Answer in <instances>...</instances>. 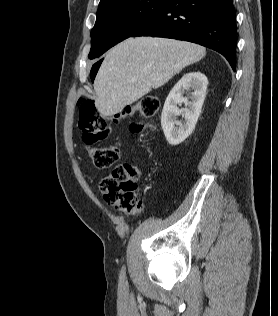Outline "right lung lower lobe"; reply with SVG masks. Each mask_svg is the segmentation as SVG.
Here are the masks:
<instances>
[{
  "mask_svg": "<svg viewBox=\"0 0 278 316\" xmlns=\"http://www.w3.org/2000/svg\"><path fill=\"white\" fill-rule=\"evenodd\" d=\"M132 36L186 40L221 53L236 69V13L232 0H166ZM95 77V76H94ZM94 77H91L92 80Z\"/></svg>",
  "mask_w": 278,
  "mask_h": 316,
  "instance_id": "98d812e1",
  "label": "right lung lower lobe"
}]
</instances>
